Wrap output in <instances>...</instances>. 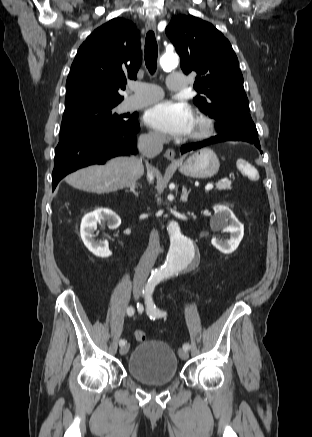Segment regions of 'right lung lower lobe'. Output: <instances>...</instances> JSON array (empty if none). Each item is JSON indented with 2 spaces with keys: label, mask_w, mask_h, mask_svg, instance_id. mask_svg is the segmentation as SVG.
Returning <instances> with one entry per match:
<instances>
[{
  "label": "right lung lower lobe",
  "mask_w": 312,
  "mask_h": 437,
  "mask_svg": "<svg viewBox=\"0 0 312 437\" xmlns=\"http://www.w3.org/2000/svg\"><path fill=\"white\" fill-rule=\"evenodd\" d=\"M130 122L75 137L59 143L55 149L52 190L67 174L91 164H103L106 159L136 152L139 123Z\"/></svg>",
  "instance_id": "obj_1"
}]
</instances>
